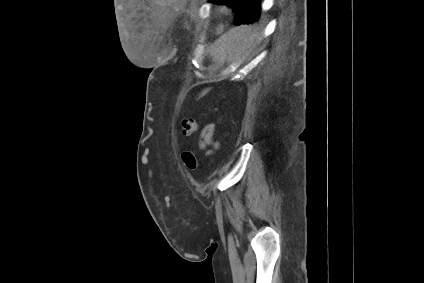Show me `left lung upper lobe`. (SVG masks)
I'll use <instances>...</instances> for the list:
<instances>
[{
	"label": "left lung upper lobe",
	"mask_w": 424,
	"mask_h": 283,
	"mask_svg": "<svg viewBox=\"0 0 424 283\" xmlns=\"http://www.w3.org/2000/svg\"><path fill=\"white\" fill-rule=\"evenodd\" d=\"M213 4H226L233 7L235 25L252 24L261 17L259 0H209Z\"/></svg>",
	"instance_id": "left-lung-upper-lobe-1"
}]
</instances>
